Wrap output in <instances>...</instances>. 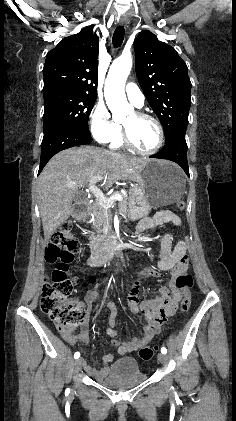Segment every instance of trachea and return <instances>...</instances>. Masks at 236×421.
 I'll return each mask as SVG.
<instances>
[{
	"label": "trachea",
	"mask_w": 236,
	"mask_h": 421,
	"mask_svg": "<svg viewBox=\"0 0 236 421\" xmlns=\"http://www.w3.org/2000/svg\"><path fill=\"white\" fill-rule=\"evenodd\" d=\"M124 36H125L124 26H118L115 29L113 38H112L114 48H119L122 45Z\"/></svg>",
	"instance_id": "1"
}]
</instances>
